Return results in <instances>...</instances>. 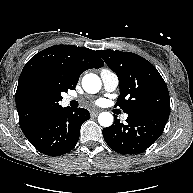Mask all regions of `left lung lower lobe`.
<instances>
[{
	"label": "left lung lower lobe",
	"mask_w": 193,
	"mask_h": 193,
	"mask_svg": "<svg viewBox=\"0 0 193 193\" xmlns=\"http://www.w3.org/2000/svg\"><path fill=\"white\" fill-rule=\"evenodd\" d=\"M170 111H158L128 116L127 124L115 119L103 129V136L110 148L120 154H139L150 147L162 134Z\"/></svg>",
	"instance_id": "0a47b994"
}]
</instances>
